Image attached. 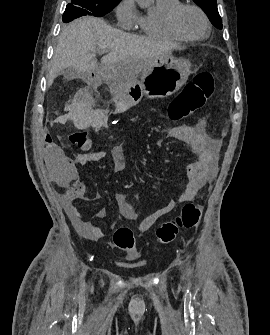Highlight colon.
<instances>
[{"mask_svg":"<svg viewBox=\"0 0 270 335\" xmlns=\"http://www.w3.org/2000/svg\"><path fill=\"white\" fill-rule=\"evenodd\" d=\"M214 92V77L209 71L197 74L190 81L184 91L178 94L170 104L168 116L173 121H179L190 113L200 109L205 101ZM71 144L82 150H89L93 146V139L86 131H76L69 136ZM201 205L195 202H186L178 215L163 221L156 228V238L159 244L173 243L183 230L197 227L201 217ZM113 244L116 248L126 251L131 256L139 254L135 245L134 236L130 229L120 228L114 232Z\"/></svg>","mask_w":270,"mask_h":335,"instance_id":"obj_1","label":"colon"}]
</instances>
